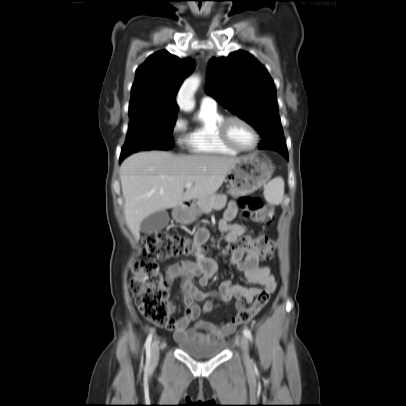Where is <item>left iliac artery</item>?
I'll list each match as a JSON object with an SVG mask.
<instances>
[{"mask_svg": "<svg viewBox=\"0 0 406 406\" xmlns=\"http://www.w3.org/2000/svg\"><path fill=\"white\" fill-rule=\"evenodd\" d=\"M243 334H244L250 341H252L253 337H252V333H251V331H250L249 329L245 328V329L243 330Z\"/></svg>", "mask_w": 406, "mask_h": 406, "instance_id": "1", "label": "left iliac artery"}]
</instances>
